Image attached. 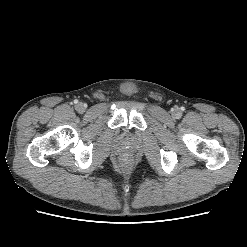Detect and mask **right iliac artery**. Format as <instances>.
<instances>
[{
    "label": "right iliac artery",
    "instance_id": "82829eb1",
    "mask_svg": "<svg viewBox=\"0 0 247 247\" xmlns=\"http://www.w3.org/2000/svg\"><path fill=\"white\" fill-rule=\"evenodd\" d=\"M74 103H78V101H77V100H75V101H74Z\"/></svg>",
    "mask_w": 247,
    "mask_h": 247
}]
</instances>
